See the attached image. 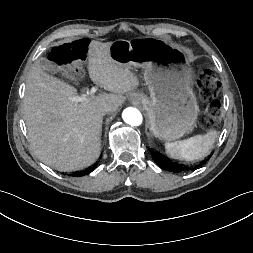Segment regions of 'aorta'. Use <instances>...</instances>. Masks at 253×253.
Listing matches in <instances>:
<instances>
[{"label": "aorta", "mask_w": 253, "mask_h": 253, "mask_svg": "<svg viewBox=\"0 0 253 253\" xmlns=\"http://www.w3.org/2000/svg\"><path fill=\"white\" fill-rule=\"evenodd\" d=\"M122 118L131 126H139L143 121L141 112L133 107L126 108L122 113Z\"/></svg>", "instance_id": "obj_1"}]
</instances>
